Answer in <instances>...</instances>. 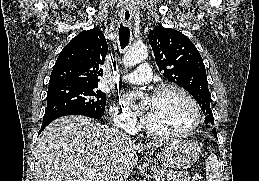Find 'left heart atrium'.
<instances>
[{
    "instance_id": "1",
    "label": "left heart atrium",
    "mask_w": 259,
    "mask_h": 181,
    "mask_svg": "<svg viewBox=\"0 0 259 181\" xmlns=\"http://www.w3.org/2000/svg\"><path fill=\"white\" fill-rule=\"evenodd\" d=\"M133 99H134V96H133V94H130V93H128V94H125L124 96H123V102L125 103V104H130L132 101H133ZM150 101H151V98H149V97H146L144 100H143V102H142V104H141V108H140V110H141V113H142V115L145 113V111L147 110V108H148V106H149V104H150Z\"/></svg>"
}]
</instances>
